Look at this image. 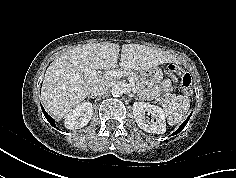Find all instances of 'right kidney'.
I'll list each match as a JSON object with an SVG mask.
<instances>
[{"label":"right kidney","mask_w":236,"mask_h":178,"mask_svg":"<svg viewBox=\"0 0 236 178\" xmlns=\"http://www.w3.org/2000/svg\"><path fill=\"white\" fill-rule=\"evenodd\" d=\"M92 113L93 107L91 103H80L65 117L64 125L70 130L80 129L89 123Z\"/></svg>","instance_id":"right-kidney-1"}]
</instances>
